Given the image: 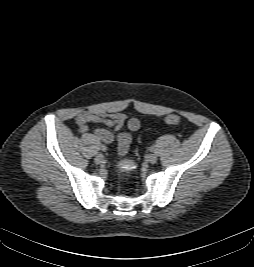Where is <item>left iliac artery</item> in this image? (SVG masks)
I'll use <instances>...</instances> for the list:
<instances>
[{
	"label": "left iliac artery",
	"mask_w": 254,
	"mask_h": 267,
	"mask_svg": "<svg viewBox=\"0 0 254 267\" xmlns=\"http://www.w3.org/2000/svg\"><path fill=\"white\" fill-rule=\"evenodd\" d=\"M150 151H155V148L152 146V147H150Z\"/></svg>",
	"instance_id": "1"
}]
</instances>
